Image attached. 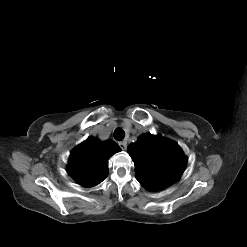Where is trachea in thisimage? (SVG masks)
Returning <instances> with one entry per match:
<instances>
[{
  "mask_svg": "<svg viewBox=\"0 0 247 247\" xmlns=\"http://www.w3.org/2000/svg\"><path fill=\"white\" fill-rule=\"evenodd\" d=\"M125 137V132L123 129L121 128H117L115 131H114V138L115 140H118V141H121L123 140Z\"/></svg>",
  "mask_w": 247,
  "mask_h": 247,
  "instance_id": "trachea-1",
  "label": "trachea"
}]
</instances>
